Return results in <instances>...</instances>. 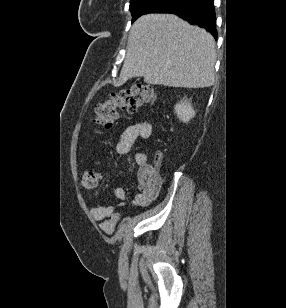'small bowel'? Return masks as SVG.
<instances>
[{
	"mask_svg": "<svg viewBox=\"0 0 286 308\" xmlns=\"http://www.w3.org/2000/svg\"><path fill=\"white\" fill-rule=\"evenodd\" d=\"M152 133L153 126L150 122L144 121L130 125L125 129L118 141L116 153L118 155L126 154L136 139H148L152 136ZM159 160L160 156L157 158V163H159ZM135 163L139 167L137 173L139 191L133 199L132 204L140 208H145L151 205L158 197L162 182L161 179H153L150 176V171L153 166L148 163L147 155L144 152L135 153ZM114 195L120 201L119 205H123L127 198L126 189L124 187H117ZM90 214L100 222V228L108 234L113 232L120 219V215L116 212V206L111 204L91 207Z\"/></svg>",
	"mask_w": 286,
	"mask_h": 308,
	"instance_id": "small-bowel-1",
	"label": "small bowel"
}]
</instances>
